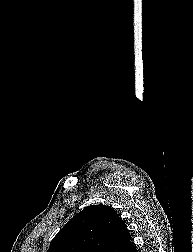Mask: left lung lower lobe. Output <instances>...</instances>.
I'll use <instances>...</instances> for the list:
<instances>
[{
    "label": "left lung lower lobe",
    "instance_id": "0a47b994",
    "mask_svg": "<svg viewBox=\"0 0 193 252\" xmlns=\"http://www.w3.org/2000/svg\"><path fill=\"white\" fill-rule=\"evenodd\" d=\"M123 252H138L136 247L133 245V243L130 241L129 244L126 246Z\"/></svg>",
    "mask_w": 193,
    "mask_h": 252
}]
</instances>
